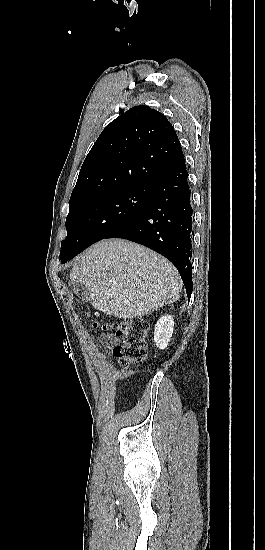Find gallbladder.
I'll return each mask as SVG.
<instances>
[{"label":"gallbladder","instance_id":"obj_1","mask_svg":"<svg viewBox=\"0 0 265 550\" xmlns=\"http://www.w3.org/2000/svg\"><path fill=\"white\" fill-rule=\"evenodd\" d=\"M74 286V292L83 300H86V297L88 296V290L83 285H73Z\"/></svg>","mask_w":265,"mask_h":550}]
</instances>
